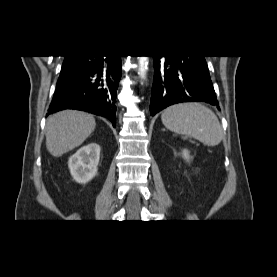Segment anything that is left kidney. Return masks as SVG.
<instances>
[{"mask_svg":"<svg viewBox=\"0 0 277 277\" xmlns=\"http://www.w3.org/2000/svg\"><path fill=\"white\" fill-rule=\"evenodd\" d=\"M182 157H183L185 160L189 161V159H190L189 151L186 150V149L182 150Z\"/></svg>","mask_w":277,"mask_h":277,"instance_id":"5707ae66","label":"left kidney"}]
</instances>
